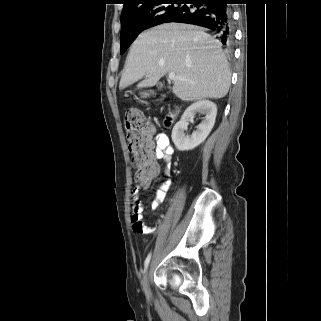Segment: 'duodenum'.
I'll use <instances>...</instances> for the list:
<instances>
[{
	"instance_id": "obj_1",
	"label": "duodenum",
	"mask_w": 321,
	"mask_h": 321,
	"mask_svg": "<svg viewBox=\"0 0 321 321\" xmlns=\"http://www.w3.org/2000/svg\"><path fill=\"white\" fill-rule=\"evenodd\" d=\"M175 113H171L167 117V123L169 124L174 119Z\"/></svg>"
}]
</instances>
